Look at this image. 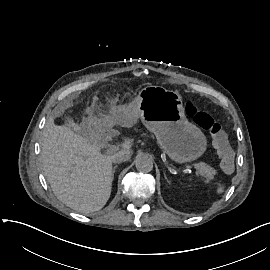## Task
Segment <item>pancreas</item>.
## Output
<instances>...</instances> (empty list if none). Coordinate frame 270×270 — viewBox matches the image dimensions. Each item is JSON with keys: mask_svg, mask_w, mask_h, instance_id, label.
<instances>
[{"mask_svg": "<svg viewBox=\"0 0 270 270\" xmlns=\"http://www.w3.org/2000/svg\"><path fill=\"white\" fill-rule=\"evenodd\" d=\"M195 168L198 170V174L202 175L206 178V182H211L214 175L217 174V170L211 167L210 165H206L205 163H198L195 165Z\"/></svg>", "mask_w": 270, "mask_h": 270, "instance_id": "pancreas-1", "label": "pancreas"}]
</instances>
